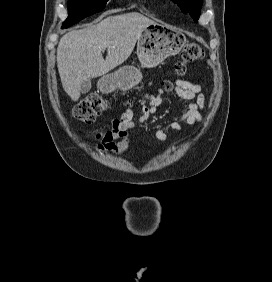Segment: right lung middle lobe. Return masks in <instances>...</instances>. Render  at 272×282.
<instances>
[{
    "instance_id": "obj_1",
    "label": "right lung middle lobe",
    "mask_w": 272,
    "mask_h": 282,
    "mask_svg": "<svg viewBox=\"0 0 272 282\" xmlns=\"http://www.w3.org/2000/svg\"><path fill=\"white\" fill-rule=\"evenodd\" d=\"M108 0H68V17L62 28H68L83 18L100 12Z\"/></svg>"
}]
</instances>
